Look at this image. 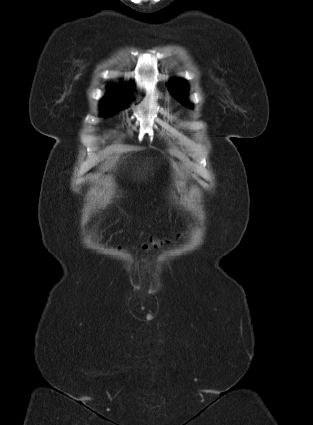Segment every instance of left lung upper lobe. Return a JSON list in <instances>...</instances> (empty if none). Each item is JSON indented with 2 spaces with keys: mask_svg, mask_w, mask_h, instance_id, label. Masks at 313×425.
<instances>
[{
  "mask_svg": "<svg viewBox=\"0 0 313 425\" xmlns=\"http://www.w3.org/2000/svg\"><path fill=\"white\" fill-rule=\"evenodd\" d=\"M168 90L183 105L192 108L188 101L186 100V95L188 92V85L183 79H175L168 84Z\"/></svg>",
  "mask_w": 313,
  "mask_h": 425,
  "instance_id": "left-lung-upper-lobe-1",
  "label": "left lung upper lobe"
}]
</instances>
